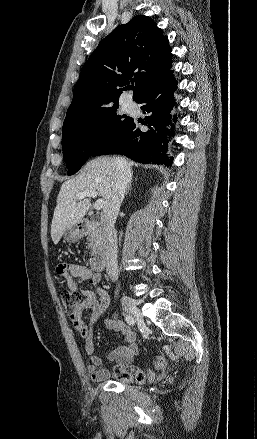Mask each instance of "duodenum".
Returning <instances> with one entry per match:
<instances>
[{"label": "duodenum", "mask_w": 257, "mask_h": 439, "mask_svg": "<svg viewBox=\"0 0 257 439\" xmlns=\"http://www.w3.org/2000/svg\"><path fill=\"white\" fill-rule=\"evenodd\" d=\"M78 235L80 237L90 235L94 254L91 257L90 265L93 271L101 272L104 269L105 257L103 254L102 224L98 221L84 220L78 224Z\"/></svg>", "instance_id": "1"}]
</instances>
